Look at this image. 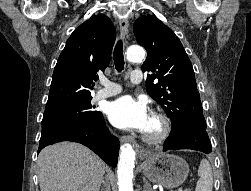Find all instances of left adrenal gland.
<instances>
[{
  "instance_id": "1",
  "label": "left adrenal gland",
  "mask_w": 251,
  "mask_h": 191,
  "mask_svg": "<svg viewBox=\"0 0 251 191\" xmlns=\"http://www.w3.org/2000/svg\"><path fill=\"white\" fill-rule=\"evenodd\" d=\"M144 185H143V191H153L150 183H148L147 179L143 177Z\"/></svg>"
}]
</instances>
